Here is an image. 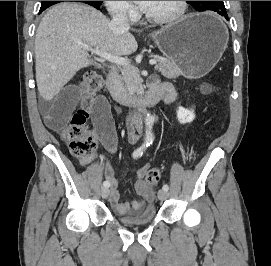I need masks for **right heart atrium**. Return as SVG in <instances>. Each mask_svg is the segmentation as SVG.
Returning a JSON list of instances; mask_svg holds the SVG:
<instances>
[{
    "label": "right heart atrium",
    "mask_w": 271,
    "mask_h": 266,
    "mask_svg": "<svg viewBox=\"0 0 271 266\" xmlns=\"http://www.w3.org/2000/svg\"><path fill=\"white\" fill-rule=\"evenodd\" d=\"M111 15L132 21L137 16V10L129 1H104Z\"/></svg>",
    "instance_id": "d8ad5b80"
}]
</instances>
